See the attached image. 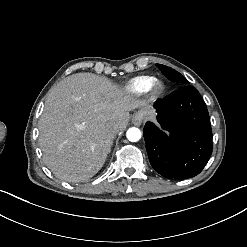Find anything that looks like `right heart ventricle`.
I'll list each match as a JSON object with an SVG mask.
<instances>
[{
    "label": "right heart ventricle",
    "mask_w": 247,
    "mask_h": 247,
    "mask_svg": "<svg viewBox=\"0 0 247 247\" xmlns=\"http://www.w3.org/2000/svg\"><path fill=\"white\" fill-rule=\"evenodd\" d=\"M155 81H157L155 76H138L129 80L124 90L128 94L141 96L147 92L149 86Z\"/></svg>",
    "instance_id": "1"
}]
</instances>
